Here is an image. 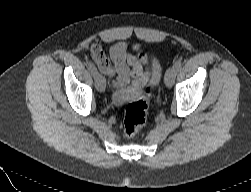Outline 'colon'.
Instances as JSON below:
<instances>
[{"mask_svg":"<svg viewBox=\"0 0 251 192\" xmlns=\"http://www.w3.org/2000/svg\"><path fill=\"white\" fill-rule=\"evenodd\" d=\"M154 95V90L146 88L145 95L137 101L130 103L124 112V132L129 138L136 136L146 122L149 98Z\"/></svg>","mask_w":251,"mask_h":192,"instance_id":"obj_1","label":"colon"}]
</instances>
